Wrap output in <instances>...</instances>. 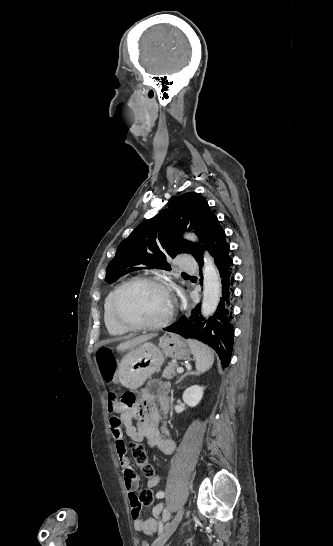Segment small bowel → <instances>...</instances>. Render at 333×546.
Instances as JSON below:
<instances>
[{"mask_svg":"<svg viewBox=\"0 0 333 546\" xmlns=\"http://www.w3.org/2000/svg\"><path fill=\"white\" fill-rule=\"evenodd\" d=\"M112 380L121 379L119 372H111ZM170 385L163 381H152L137 395L135 406L128 407L124 404L112 402L110 411L118 413L110 418L111 435L115 443V450L119 465L124 475V485L128 492L131 507L133 526L136 531L151 535L159 528V521L167 520L168 512L164 504L154 507L152 516L142 518L141 506L138 503L137 489L139 477L131 467L127 456V448L124 440V432L134 442H146L150 448H157L164 455H170L175 449V441L165 427V418L169 409ZM135 422V424H134ZM159 477L154 475L148 480L149 486H155ZM164 497L163 492L157 493V498Z\"/></svg>","mask_w":333,"mask_h":546,"instance_id":"small-bowel-1","label":"small bowel"}]
</instances>
